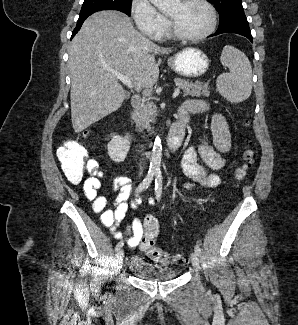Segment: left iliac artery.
Masks as SVG:
<instances>
[{"mask_svg":"<svg viewBox=\"0 0 298 325\" xmlns=\"http://www.w3.org/2000/svg\"><path fill=\"white\" fill-rule=\"evenodd\" d=\"M155 195L157 200H160L161 198V194H162V175L160 171H157L155 173ZM195 252L197 255L201 254V249L199 248V246H195Z\"/></svg>","mask_w":298,"mask_h":325,"instance_id":"left-iliac-artery-1","label":"left iliac artery"}]
</instances>
